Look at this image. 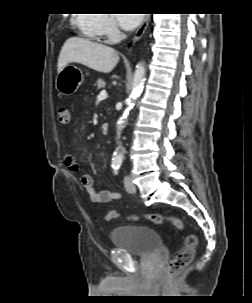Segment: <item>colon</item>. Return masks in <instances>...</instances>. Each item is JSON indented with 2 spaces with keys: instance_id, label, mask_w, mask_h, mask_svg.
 <instances>
[{
  "instance_id": "colon-1",
  "label": "colon",
  "mask_w": 252,
  "mask_h": 303,
  "mask_svg": "<svg viewBox=\"0 0 252 303\" xmlns=\"http://www.w3.org/2000/svg\"><path fill=\"white\" fill-rule=\"evenodd\" d=\"M59 121L61 124H65V125L70 123V112L68 108L61 107L59 109ZM118 217H119V213L115 210H111L106 214L105 220L110 221ZM141 218H145L157 225L170 224L178 229L183 228L182 222L179 219L171 216H163L155 213L148 215L132 214L128 216L129 220H134V221L139 220ZM196 248H197L196 237L195 236L186 237L184 240L183 247L181 248V250L177 252V254L174 256V258L170 261L168 265L167 273L170 277H174L178 275L183 268H185L188 264L191 263L195 255Z\"/></svg>"
}]
</instances>
